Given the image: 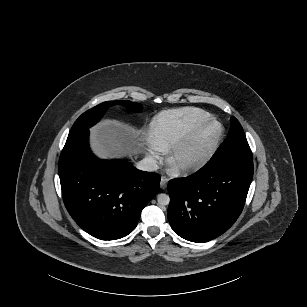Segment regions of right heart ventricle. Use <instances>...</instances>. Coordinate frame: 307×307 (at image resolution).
Segmentation results:
<instances>
[{"instance_id": "right-heart-ventricle-1", "label": "right heart ventricle", "mask_w": 307, "mask_h": 307, "mask_svg": "<svg viewBox=\"0 0 307 307\" xmlns=\"http://www.w3.org/2000/svg\"><path fill=\"white\" fill-rule=\"evenodd\" d=\"M212 120L210 113L193 107L162 111L151 122L153 142L162 151L171 150Z\"/></svg>"}]
</instances>
